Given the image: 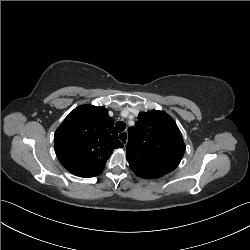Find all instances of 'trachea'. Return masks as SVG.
Segmentation results:
<instances>
[{
  "label": "trachea",
  "mask_w": 250,
  "mask_h": 250,
  "mask_svg": "<svg viewBox=\"0 0 250 250\" xmlns=\"http://www.w3.org/2000/svg\"><path fill=\"white\" fill-rule=\"evenodd\" d=\"M115 127L117 132H122L126 128V123L123 121H118Z\"/></svg>",
  "instance_id": "trachea-1"
}]
</instances>
